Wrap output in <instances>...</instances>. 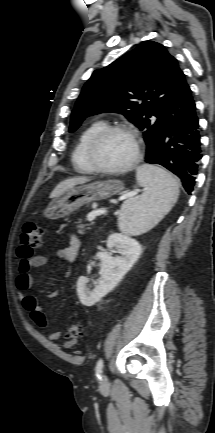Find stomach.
Wrapping results in <instances>:
<instances>
[{
	"mask_svg": "<svg viewBox=\"0 0 215 433\" xmlns=\"http://www.w3.org/2000/svg\"><path fill=\"white\" fill-rule=\"evenodd\" d=\"M122 190L123 184L117 180L97 181L73 187L55 199L44 214L49 219L64 218L85 204L110 198Z\"/></svg>",
	"mask_w": 215,
	"mask_h": 433,
	"instance_id": "obj_1",
	"label": "stomach"
}]
</instances>
